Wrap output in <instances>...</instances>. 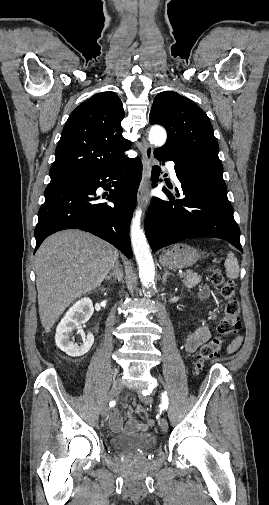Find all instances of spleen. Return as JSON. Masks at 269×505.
<instances>
[{
    "instance_id": "obj_1",
    "label": "spleen",
    "mask_w": 269,
    "mask_h": 505,
    "mask_svg": "<svg viewBox=\"0 0 269 505\" xmlns=\"http://www.w3.org/2000/svg\"><path fill=\"white\" fill-rule=\"evenodd\" d=\"M224 266L226 268V276L230 279H237L239 276V264L237 258L232 252L228 253Z\"/></svg>"
}]
</instances>
